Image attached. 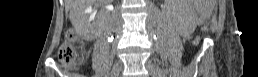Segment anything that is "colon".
I'll return each instance as SVG.
<instances>
[{
	"label": "colon",
	"mask_w": 258,
	"mask_h": 77,
	"mask_svg": "<svg viewBox=\"0 0 258 77\" xmlns=\"http://www.w3.org/2000/svg\"><path fill=\"white\" fill-rule=\"evenodd\" d=\"M77 37L74 32L67 34L66 41L59 49V59L66 64H73L80 60L81 54L77 46Z\"/></svg>",
	"instance_id": "1"
}]
</instances>
